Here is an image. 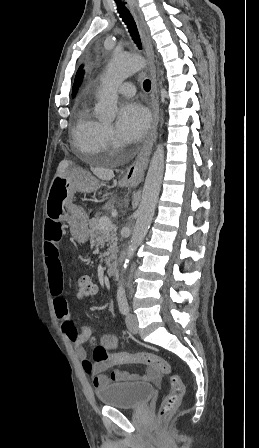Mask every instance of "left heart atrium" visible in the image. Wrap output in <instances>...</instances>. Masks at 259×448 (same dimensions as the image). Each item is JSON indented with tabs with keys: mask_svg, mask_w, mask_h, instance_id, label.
Wrapping results in <instances>:
<instances>
[{
	"mask_svg": "<svg viewBox=\"0 0 259 448\" xmlns=\"http://www.w3.org/2000/svg\"><path fill=\"white\" fill-rule=\"evenodd\" d=\"M149 127V113L137 101L124 103L119 111L117 130L124 142H135L143 137Z\"/></svg>",
	"mask_w": 259,
	"mask_h": 448,
	"instance_id": "39dd6f15",
	"label": "left heart atrium"
}]
</instances>
